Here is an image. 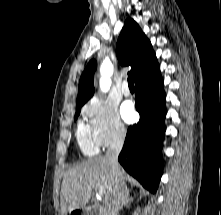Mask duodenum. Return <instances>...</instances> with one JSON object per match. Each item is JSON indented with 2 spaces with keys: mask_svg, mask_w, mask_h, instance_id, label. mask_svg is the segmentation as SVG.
Listing matches in <instances>:
<instances>
[{
  "mask_svg": "<svg viewBox=\"0 0 221 215\" xmlns=\"http://www.w3.org/2000/svg\"><path fill=\"white\" fill-rule=\"evenodd\" d=\"M72 215H89L87 208L76 209Z\"/></svg>",
  "mask_w": 221,
  "mask_h": 215,
  "instance_id": "duodenum-1",
  "label": "duodenum"
}]
</instances>
